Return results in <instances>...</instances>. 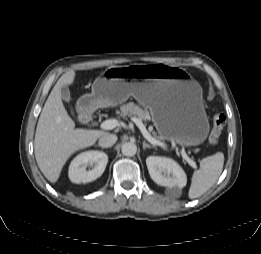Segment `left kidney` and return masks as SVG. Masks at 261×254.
Listing matches in <instances>:
<instances>
[{"label":"left kidney","mask_w":261,"mask_h":254,"mask_svg":"<svg viewBox=\"0 0 261 254\" xmlns=\"http://www.w3.org/2000/svg\"><path fill=\"white\" fill-rule=\"evenodd\" d=\"M146 165L152 180L165 187L183 188L187 177L182 167L174 160L166 157L149 156Z\"/></svg>","instance_id":"obj_1"}]
</instances>
